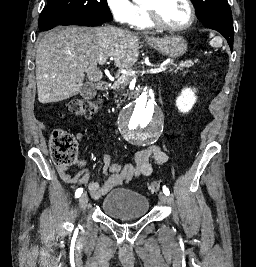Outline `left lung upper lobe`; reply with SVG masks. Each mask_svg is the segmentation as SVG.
I'll return each instance as SVG.
<instances>
[{"label":"left lung upper lobe","mask_w":256,"mask_h":267,"mask_svg":"<svg viewBox=\"0 0 256 267\" xmlns=\"http://www.w3.org/2000/svg\"><path fill=\"white\" fill-rule=\"evenodd\" d=\"M204 26L220 32L233 49V20L227 0H192Z\"/></svg>","instance_id":"5c2ea615"}]
</instances>
